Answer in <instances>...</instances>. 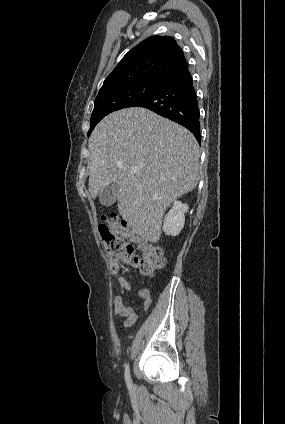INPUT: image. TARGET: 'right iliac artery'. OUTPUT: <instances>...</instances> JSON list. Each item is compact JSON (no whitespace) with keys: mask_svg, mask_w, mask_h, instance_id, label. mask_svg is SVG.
<instances>
[{"mask_svg":"<svg viewBox=\"0 0 285 424\" xmlns=\"http://www.w3.org/2000/svg\"><path fill=\"white\" fill-rule=\"evenodd\" d=\"M124 375H125V381H126L127 387L129 389H131V387H132V381H131V377H130L129 364H126L125 365V373H124Z\"/></svg>","mask_w":285,"mask_h":424,"instance_id":"right-iliac-artery-1","label":"right iliac artery"}]
</instances>
